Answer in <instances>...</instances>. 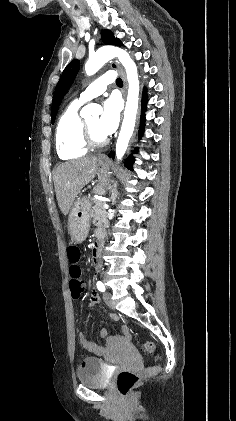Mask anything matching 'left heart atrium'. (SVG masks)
Masks as SVG:
<instances>
[{"mask_svg": "<svg viewBox=\"0 0 236 421\" xmlns=\"http://www.w3.org/2000/svg\"><path fill=\"white\" fill-rule=\"evenodd\" d=\"M120 120V107L115 98L107 99L103 104V113L98 122L100 132L107 136L112 134Z\"/></svg>", "mask_w": 236, "mask_h": 421, "instance_id": "39dd6f15", "label": "left heart atrium"}]
</instances>
